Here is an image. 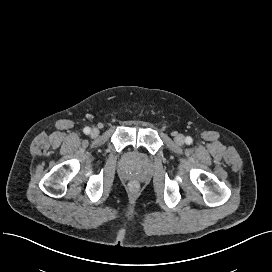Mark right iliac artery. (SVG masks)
<instances>
[{
  "mask_svg": "<svg viewBox=\"0 0 272 272\" xmlns=\"http://www.w3.org/2000/svg\"><path fill=\"white\" fill-rule=\"evenodd\" d=\"M83 132L85 134H89L90 133V128L89 127H85L84 130H83Z\"/></svg>",
  "mask_w": 272,
  "mask_h": 272,
  "instance_id": "1",
  "label": "right iliac artery"
}]
</instances>
